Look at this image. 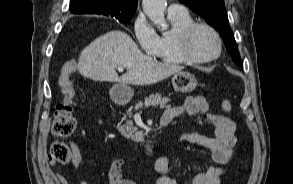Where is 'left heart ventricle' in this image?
<instances>
[{
    "mask_svg": "<svg viewBox=\"0 0 293 184\" xmlns=\"http://www.w3.org/2000/svg\"><path fill=\"white\" fill-rule=\"evenodd\" d=\"M190 51L198 58H207L217 52V41L206 28H198L190 40Z\"/></svg>",
    "mask_w": 293,
    "mask_h": 184,
    "instance_id": "b2bd125f",
    "label": "left heart ventricle"
}]
</instances>
